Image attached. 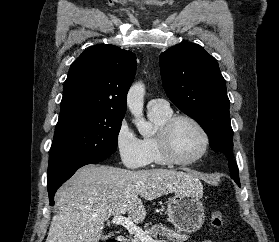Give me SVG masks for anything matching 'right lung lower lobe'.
Returning a JSON list of instances; mask_svg holds the SVG:
<instances>
[{
	"label": "right lung lower lobe",
	"instance_id": "98d812e1",
	"mask_svg": "<svg viewBox=\"0 0 279 242\" xmlns=\"http://www.w3.org/2000/svg\"><path fill=\"white\" fill-rule=\"evenodd\" d=\"M107 156H89L79 159L75 161L65 168L61 169L56 174L47 177V188L49 194L50 205L54 204V194L57 189L67 180L69 179L77 169L87 164H95L105 160Z\"/></svg>",
	"mask_w": 279,
	"mask_h": 242
}]
</instances>
